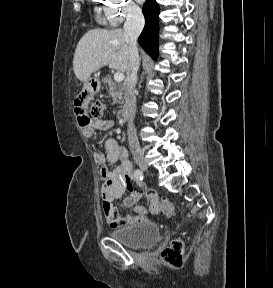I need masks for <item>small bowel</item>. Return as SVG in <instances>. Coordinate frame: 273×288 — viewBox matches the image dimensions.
Listing matches in <instances>:
<instances>
[{"label": "small bowel", "mask_w": 273, "mask_h": 288, "mask_svg": "<svg viewBox=\"0 0 273 288\" xmlns=\"http://www.w3.org/2000/svg\"><path fill=\"white\" fill-rule=\"evenodd\" d=\"M113 126V122L105 118L102 113L94 116L87 126L82 127V133L85 138L90 139L95 130H107ZM106 154H95V159L101 164L100 175L103 179L101 188V196L103 201V210L109 225L113 228L122 227L141 223L146 220L147 209L143 205L136 207V215H126L121 217L113 202L122 198L126 191L130 195L127 196L123 205L131 207L135 205L141 198H145L149 202L150 211L154 214L159 213V197L157 193L145 187L132 174V165L128 154L123 147L114 139H107L104 142ZM119 165L111 167L114 163Z\"/></svg>", "instance_id": "obj_1"}]
</instances>
